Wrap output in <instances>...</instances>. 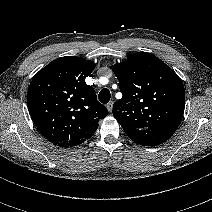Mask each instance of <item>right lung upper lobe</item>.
I'll return each instance as SVG.
<instances>
[{"instance_id": "1", "label": "right lung upper lobe", "mask_w": 212, "mask_h": 212, "mask_svg": "<svg viewBox=\"0 0 212 212\" xmlns=\"http://www.w3.org/2000/svg\"><path fill=\"white\" fill-rule=\"evenodd\" d=\"M95 63L81 57L57 58L32 79L27 105L40 133L59 147H72L91 138L108 110L97 101L85 78Z\"/></svg>"}]
</instances>
